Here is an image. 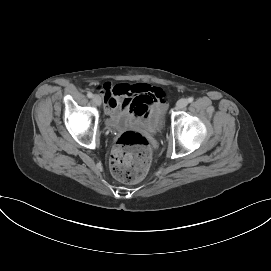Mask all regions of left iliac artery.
<instances>
[{
  "mask_svg": "<svg viewBox=\"0 0 271 271\" xmlns=\"http://www.w3.org/2000/svg\"><path fill=\"white\" fill-rule=\"evenodd\" d=\"M193 100H194L193 97H189V98H188V102H189V103L193 102Z\"/></svg>",
  "mask_w": 271,
  "mask_h": 271,
  "instance_id": "44dca946",
  "label": "left iliac artery"
}]
</instances>
